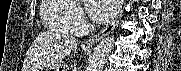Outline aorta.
Segmentation results:
<instances>
[{
	"instance_id": "obj_1",
	"label": "aorta",
	"mask_w": 181,
	"mask_h": 71,
	"mask_svg": "<svg viewBox=\"0 0 181 71\" xmlns=\"http://www.w3.org/2000/svg\"><path fill=\"white\" fill-rule=\"evenodd\" d=\"M114 45V36H107L100 41L91 55L86 71H103L107 57Z\"/></svg>"
}]
</instances>
